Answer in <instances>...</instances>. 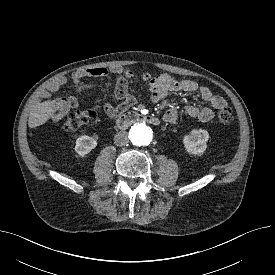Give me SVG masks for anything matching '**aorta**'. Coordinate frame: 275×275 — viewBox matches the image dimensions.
<instances>
[{"label":"aorta","mask_w":275,"mask_h":275,"mask_svg":"<svg viewBox=\"0 0 275 275\" xmlns=\"http://www.w3.org/2000/svg\"><path fill=\"white\" fill-rule=\"evenodd\" d=\"M130 138L136 146L149 145L152 140V130L144 123H137L130 130Z\"/></svg>","instance_id":"obj_1"}]
</instances>
